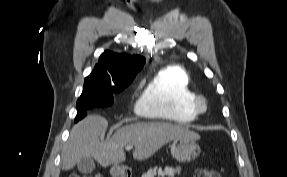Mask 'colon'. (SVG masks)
<instances>
[{"instance_id": "colon-1", "label": "colon", "mask_w": 287, "mask_h": 177, "mask_svg": "<svg viewBox=\"0 0 287 177\" xmlns=\"http://www.w3.org/2000/svg\"><path fill=\"white\" fill-rule=\"evenodd\" d=\"M69 177H99L97 175L93 176V175H79V174H72ZM193 177H221V174L219 171L209 168V167H202V168H198Z\"/></svg>"}]
</instances>
